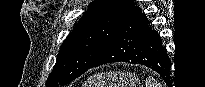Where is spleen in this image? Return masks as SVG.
<instances>
[{
	"mask_svg": "<svg viewBox=\"0 0 205 87\" xmlns=\"http://www.w3.org/2000/svg\"><path fill=\"white\" fill-rule=\"evenodd\" d=\"M146 87H161L160 83H158L153 77H149L146 80Z\"/></svg>",
	"mask_w": 205,
	"mask_h": 87,
	"instance_id": "1",
	"label": "spleen"
}]
</instances>
